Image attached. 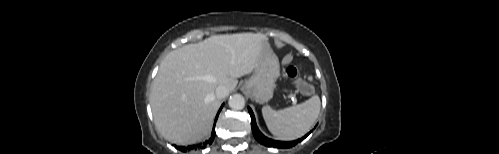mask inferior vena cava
Returning a JSON list of instances; mask_svg holds the SVG:
<instances>
[{
	"label": "inferior vena cava",
	"mask_w": 499,
	"mask_h": 154,
	"mask_svg": "<svg viewBox=\"0 0 499 154\" xmlns=\"http://www.w3.org/2000/svg\"><path fill=\"white\" fill-rule=\"evenodd\" d=\"M215 94L218 99H222L229 94V91L226 86L220 85L216 88Z\"/></svg>",
	"instance_id": "1"
}]
</instances>
